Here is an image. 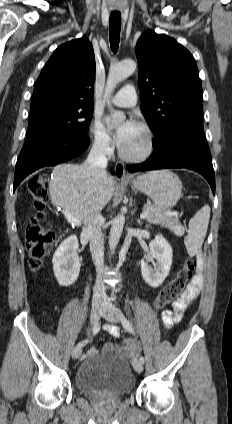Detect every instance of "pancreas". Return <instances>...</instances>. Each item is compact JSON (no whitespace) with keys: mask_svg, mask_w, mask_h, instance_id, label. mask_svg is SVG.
<instances>
[{"mask_svg":"<svg viewBox=\"0 0 232 424\" xmlns=\"http://www.w3.org/2000/svg\"><path fill=\"white\" fill-rule=\"evenodd\" d=\"M143 211L148 213L145 219L151 224H159L173 232H175L177 227L181 226L177 216L168 215L153 205H145Z\"/></svg>","mask_w":232,"mask_h":424,"instance_id":"pancreas-1","label":"pancreas"}]
</instances>
